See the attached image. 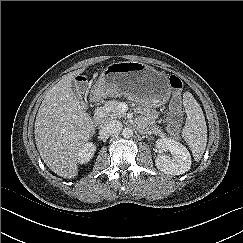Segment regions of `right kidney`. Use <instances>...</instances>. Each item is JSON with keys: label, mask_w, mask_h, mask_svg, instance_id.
I'll return each instance as SVG.
<instances>
[{"label": "right kidney", "mask_w": 243, "mask_h": 243, "mask_svg": "<svg viewBox=\"0 0 243 243\" xmlns=\"http://www.w3.org/2000/svg\"><path fill=\"white\" fill-rule=\"evenodd\" d=\"M96 151V145L92 142H86L78 153L77 161L80 164L87 163L93 157Z\"/></svg>", "instance_id": "obj_1"}]
</instances>
